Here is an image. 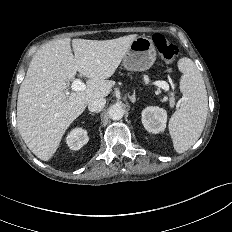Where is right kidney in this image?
I'll use <instances>...</instances> for the list:
<instances>
[{
  "mask_svg": "<svg viewBox=\"0 0 232 232\" xmlns=\"http://www.w3.org/2000/svg\"><path fill=\"white\" fill-rule=\"evenodd\" d=\"M89 138L87 131L82 128L73 129L66 138V143L71 150H79L87 144Z\"/></svg>",
  "mask_w": 232,
  "mask_h": 232,
  "instance_id": "right-kidney-1",
  "label": "right kidney"
}]
</instances>
